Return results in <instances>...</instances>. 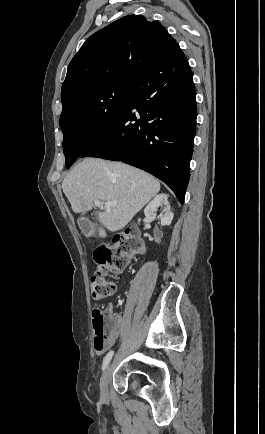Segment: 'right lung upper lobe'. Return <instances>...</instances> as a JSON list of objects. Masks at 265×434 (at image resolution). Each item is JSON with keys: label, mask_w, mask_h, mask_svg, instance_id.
<instances>
[{"label": "right lung upper lobe", "mask_w": 265, "mask_h": 434, "mask_svg": "<svg viewBox=\"0 0 265 434\" xmlns=\"http://www.w3.org/2000/svg\"><path fill=\"white\" fill-rule=\"evenodd\" d=\"M176 44L158 21L125 16L86 40L68 66L61 95L109 76L136 78Z\"/></svg>", "instance_id": "obj_1"}]
</instances>
